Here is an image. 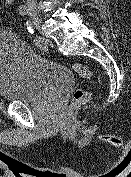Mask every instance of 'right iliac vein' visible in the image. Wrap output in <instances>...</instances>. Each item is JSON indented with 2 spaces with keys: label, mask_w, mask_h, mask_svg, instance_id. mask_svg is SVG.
Returning a JSON list of instances; mask_svg holds the SVG:
<instances>
[{
  "label": "right iliac vein",
  "mask_w": 131,
  "mask_h": 177,
  "mask_svg": "<svg viewBox=\"0 0 131 177\" xmlns=\"http://www.w3.org/2000/svg\"><path fill=\"white\" fill-rule=\"evenodd\" d=\"M30 14L32 16L34 24L39 27L40 21H39V18L36 16L35 11L33 9L30 10Z\"/></svg>",
  "instance_id": "1"
}]
</instances>
